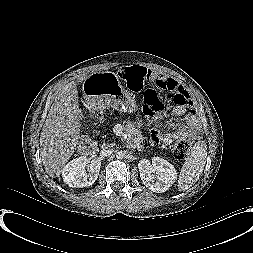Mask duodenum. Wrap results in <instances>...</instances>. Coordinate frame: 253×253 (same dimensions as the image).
Masks as SVG:
<instances>
[{"label":"duodenum","instance_id":"1","mask_svg":"<svg viewBox=\"0 0 253 253\" xmlns=\"http://www.w3.org/2000/svg\"><path fill=\"white\" fill-rule=\"evenodd\" d=\"M80 152L85 155H93L97 151V147L92 143L90 139H83L79 144Z\"/></svg>","mask_w":253,"mask_h":253}]
</instances>
